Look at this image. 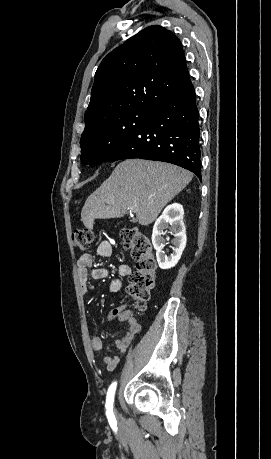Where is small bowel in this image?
Returning <instances> with one entry per match:
<instances>
[{"label": "small bowel", "instance_id": "1", "mask_svg": "<svg viewBox=\"0 0 271 459\" xmlns=\"http://www.w3.org/2000/svg\"><path fill=\"white\" fill-rule=\"evenodd\" d=\"M97 256L101 258L110 257L112 254V245L108 240L101 241L96 249ZM77 273L81 284V290L83 294L88 292V279H102L108 276V270L104 268H96L93 266V257L90 254H83L80 256L77 262ZM131 268L128 265H121L118 269V277L113 279L109 285V291L116 293L122 288V277L130 276ZM118 318L121 322H126V332L122 338L116 341V347L121 353H125L134 340L135 336L140 332L141 326L137 322L136 318L129 315L123 310L122 307L115 308L107 316V319L113 320ZM91 347L94 351H100L103 347L102 339L94 337L91 340ZM103 362L106 365L108 372H113L119 365L120 359L117 355H105Z\"/></svg>", "mask_w": 271, "mask_h": 459}]
</instances>
